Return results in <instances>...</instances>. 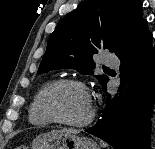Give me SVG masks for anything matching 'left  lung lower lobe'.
I'll use <instances>...</instances> for the list:
<instances>
[{
    "instance_id": "obj_1",
    "label": "left lung lower lobe",
    "mask_w": 155,
    "mask_h": 149,
    "mask_svg": "<svg viewBox=\"0 0 155 149\" xmlns=\"http://www.w3.org/2000/svg\"><path fill=\"white\" fill-rule=\"evenodd\" d=\"M115 53L121 60V83L128 85L125 100L123 96L117 97L118 101L109 100L102 118L86 132L116 149H150V119L155 102V48L146 20ZM103 86L106 88V84Z\"/></svg>"
}]
</instances>
